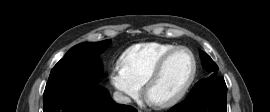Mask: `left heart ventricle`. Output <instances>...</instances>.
<instances>
[{"label":"left heart ventricle","mask_w":270,"mask_h":112,"mask_svg":"<svg viewBox=\"0 0 270 112\" xmlns=\"http://www.w3.org/2000/svg\"><path fill=\"white\" fill-rule=\"evenodd\" d=\"M191 71L192 59L189 53L179 51L169 60L162 75L152 85L149 97L156 103L172 97L185 85Z\"/></svg>","instance_id":"b2bd125f"}]
</instances>
